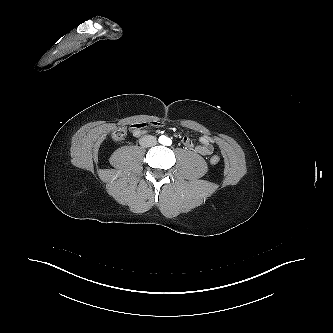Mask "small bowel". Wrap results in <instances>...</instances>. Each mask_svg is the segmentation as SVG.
<instances>
[{
  "mask_svg": "<svg viewBox=\"0 0 333 333\" xmlns=\"http://www.w3.org/2000/svg\"><path fill=\"white\" fill-rule=\"evenodd\" d=\"M154 126L156 127H161L163 124L161 122H154ZM145 123H136L131 125V131L132 134L136 137L142 136L146 130H145ZM182 143L188 148H194V150L201 154V155H210L213 152V145H212V140L209 136L207 135H202L199 138V143L197 145L194 144L191 138L188 136H184L182 138Z\"/></svg>",
  "mask_w": 333,
  "mask_h": 333,
  "instance_id": "small-bowel-1",
  "label": "small bowel"
}]
</instances>
